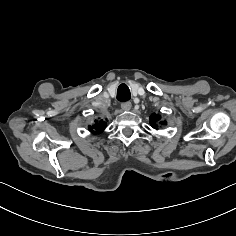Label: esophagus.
<instances>
[{
	"mask_svg": "<svg viewBox=\"0 0 236 236\" xmlns=\"http://www.w3.org/2000/svg\"><path fill=\"white\" fill-rule=\"evenodd\" d=\"M131 107H132V104L130 102H123L121 104V108L126 111L130 110Z\"/></svg>",
	"mask_w": 236,
	"mask_h": 236,
	"instance_id": "34e87169",
	"label": "esophagus"
}]
</instances>
